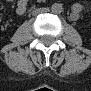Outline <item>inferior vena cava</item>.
Wrapping results in <instances>:
<instances>
[{
	"instance_id": "inferior-vena-cava-1",
	"label": "inferior vena cava",
	"mask_w": 91,
	"mask_h": 91,
	"mask_svg": "<svg viewBox=\"0 0 91 91\" xmlns=\"http://www.w3.org/2000/svg\"><path fill=\"white\" fill-rule=\"evenodd\" d=\"M48 12V9L47 8H44V9H35L33 11V14L34 15H38V14H43V13H47Z\"/></svg>"
}]
</instances>
